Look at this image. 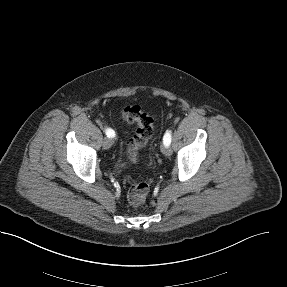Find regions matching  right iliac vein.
<instances>
[{
  "mask_svg": "<svg viewBox=\"0 0 287 287\" xmlns=\"http://www.w3.org/2000/svg\"><path fill=\"white\" fill-rule=\"evenodd\" d=\"M112 143H113L112 139L105 137L103 142H102V145H103L104 149H109L112 146Z\"/></svg>",
  "mask_w": 287,
  "mask_h": 287,
  "instance_id": "obj_1",
  "label": "right iliac vein"
}]
</instances>
